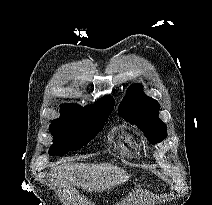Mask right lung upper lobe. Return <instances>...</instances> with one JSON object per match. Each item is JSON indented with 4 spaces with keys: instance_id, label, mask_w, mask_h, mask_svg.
<instances>
[{
    "instance_id": "1",
    "label": "right lung upper lobe",
    "mask_w": 212,
    "mask_h": 205,
    "mask_svg": "<svg viewBox=\"0 0 212 205\" xmlns=\"http://www.w3.org/2000/svg\"><path fill=\"white\" fill-rule=\"evenodd\" d=\"M114 104H115V101L111 96L103 97L99 99L97 102H95V104L86 106L84 109L78 105L64 104V105H61V115L71 110H88V109H94V108L106 107V106L114 107Z\"/></svg>"
}]
</instances>
